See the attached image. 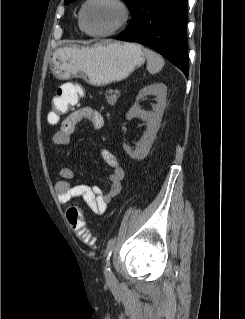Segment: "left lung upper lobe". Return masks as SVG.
<instances>
[{"mask_svg": "<svg viewBox=\"0 0 245 319\" xmlns=\"http://www.w3.org/2000/svg\"><path fill=\"white\" fill-rule=\"evenodd\" d=\"M74 0H65L64 1V4L67 5L71 2H73ZM139 0H124V2L127 4L129 10H130V13L132 15L134 9H135V6L136 4L138 3Z\"/></svg>", "mask_w": 245, "mask_h": 319, "instance_id": "5c2ea615", "label": "left lung upper lobe"}]
</instances>
